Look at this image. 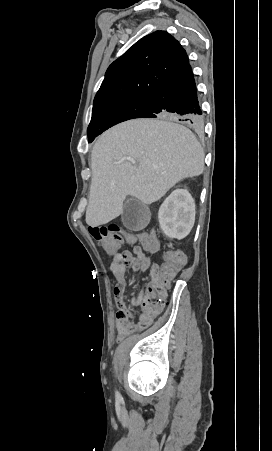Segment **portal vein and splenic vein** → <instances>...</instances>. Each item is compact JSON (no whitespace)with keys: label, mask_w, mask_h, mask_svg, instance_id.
I'll return each mask as SVG.
<instances>
[{"label":"portal vein and splenic vein","mask_w":272,"mask_h":451,"mask_svg":"<svg viewBox=\"0 0 272 451\" xmlns=\"http://www.w3.org/2000/svg\"><path fill=\"white\" fill-rule=\"evenodd\" d=\"M125 160H131V158H125ZM116 164H119V162H116Z\"/></svg>","instance_id":"18ae733b"}]
</instances>
